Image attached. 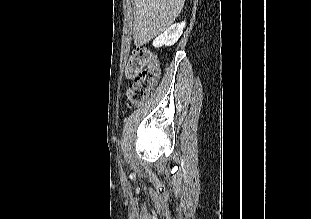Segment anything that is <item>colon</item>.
<instances>
[{
  "label": "colon",
  "mask_w": 311,
  "mask_h": 219,
  "mask_svg": "<svg viewBox=\"0 0 311 219\" xmlns=\"http://www.w3.org/2000/svg\"><path fill=\"white\" fill-rule=\"evenodd\" d=\"M125 75L133 79L126 91L128 104L130 107L139 106L158 82L160 69L157 58L146 47L135 49L127 61Z\"/></svg>",
  "instance_id": "5ec220e1"
}]
</instances>
